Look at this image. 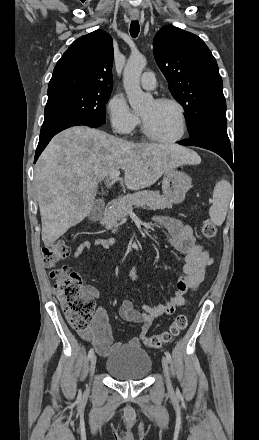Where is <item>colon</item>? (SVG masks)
<instances>
[{"mask_svg": "<svg viewBox=\"0 0 259 440\" xmlns=\"http://www.w3.org/2000/svg\"><path fill=\"white\" fill-rule=\"evenodd\" d=\"M203 236L212 240L217 232L215 224L207 219L201 227ZM43 261L50 276L55 280L54 290L62 305V309L69 324L78 330L87 329L94 320L95 301L90 290L83 286L82 279L76 272L70 271L60 263L70 255V247L63 240H58L43 248ZM188 325L187 316H176L170 327L161 334L146 335L145 345L151 349H158L171 342Z\"/></svg>", "mask_w": 259, "mask_h": 440, "instance_id": "colon-1", "label": "colon"}]
</instances>
